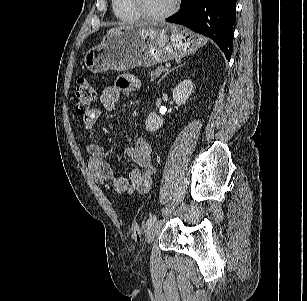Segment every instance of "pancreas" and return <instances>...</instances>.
Segmentation results:
<instances>
[{
  "mask_svg": "<svg viewBox=\"0 0 307 301\" xmlns=\"http://www.w3.org/2000/svg\"><path fill=\"white\" fill-rule=\"evenodd\" d=\"M163 72H168V70L166 68H164L163 66H158L157 68H155L154 70H152L150 72V76H151V80L156 79L157 77H159Z\"/></svg>",
  "mask_w": 307,
  "mask_h": 301,
  "instance_id": "1",
  "label": "pancreas"
}]
</instances>
